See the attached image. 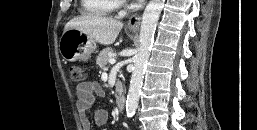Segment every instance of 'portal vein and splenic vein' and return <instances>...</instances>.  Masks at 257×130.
Here are the masks:
<instances>
[{
  "mask_svg": "<svg viewBox=\"0 0 257 130\" xmlns=\"http://www.w3.org/2000/svg\"><path fill=\"white\" fill-rule=\"evenodd\" d=\"M109 63H110V64H115V63H116V60H115V59H110V60H109Z\"/></svg>",
  "mask_w": 257,
  "mask_h": 130,
  "instance_id": "portal-vein-and-splenic-vein-1",
  "label": "portal vein and splenic vein"
}]
</instances>
